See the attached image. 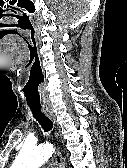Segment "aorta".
<instances>
[{"label": "aorta", "instance_id": "aorta-1", "mask_svg": "<svg viewBox=\"0 0 127 168\" xmlns=\"http://www.w3.org/2000/svg\"><path fill=\"white\" fill-rule=\"evenodd\" d=\"M52 155L49 145H24L11 168H39Z\"/></svg>", "mask_w": 127, "mask_h": 168}]
</instances>
